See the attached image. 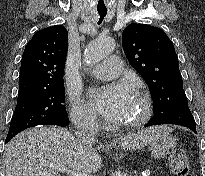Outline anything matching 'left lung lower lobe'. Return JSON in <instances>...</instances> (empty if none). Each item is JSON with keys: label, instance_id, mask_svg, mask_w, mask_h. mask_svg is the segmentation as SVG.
I'll return each mask as SVG.
<instances>
[{"label": "left lung lower lobe", "instance_id": "left-lung-lower-lobe-1", "mask_svg": "<svg viewBox=\"0 0 205 176\" xmlns=\"http://www.w3.org/2000/svg\"><path fill=\"white\" fill-rule=\"evenodd\" d=\"M161 124L185 126L196 133L195 120L188 107L187 99L179 101L174 107L165 112L155 114L145 127Z\"/></svg>", "mask_w": 205, "mask_h": 176}]
</instances>
